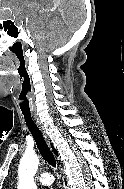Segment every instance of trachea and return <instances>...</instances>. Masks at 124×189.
<instances>
[{"instance_id": "1", "label": "trachea", "mask_w": 124, "mask_h": 189, "mask_svg": "<svg viewBox=\"0 0 124 189\" xmlns=\"http://www.w3.org/2000/svg\"><path fill=\"white\" fill-rule=\"evenodd\" d=\"M23 116L25 118L28 129L31 132V134L36 142V145L39 149L40 154L42 155V157L45 159V161L49 165H51L52 167H56L55 157H54L53 153L51 152V150L49 149V147L42 135V132L38 128L37 124L34 122L32 116H31V113L23 112Z\"/></svg>"}]
</instances>
